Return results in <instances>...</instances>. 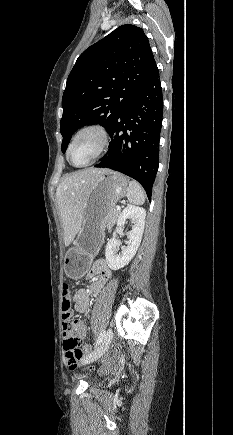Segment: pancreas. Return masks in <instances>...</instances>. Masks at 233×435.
Returning a JSON list of instances; mask_svg holds the SVG:
<instances>
[{
    "mask_svg": "<svg viewBox=\"0 0 233 435\" xmlns=\"http://www.w3.org/2000/svg\"><path fill=\"white\" fill-rule=\"evenodd\" d=\"M119 215H120V211L115 208L110 212L108 222H107L108 229H110L111 226L116 222Z\"/></svg>",
    "mask_w": 233,
    "mask_h": 435,
    "instance_id": "pancreas-1",
    "label": "pancreas"
}]
</instances>
